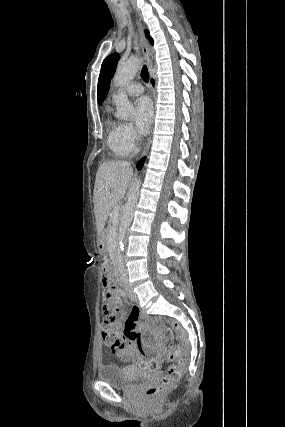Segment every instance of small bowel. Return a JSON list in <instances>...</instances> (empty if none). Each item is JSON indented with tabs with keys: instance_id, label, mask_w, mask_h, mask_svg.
<instances>
[{
	"instance_id": "obj_1",
	"label": "small bowel",
	"mask_w": 285,
	"mask_h": 427,
	"mask_svg": "<svg viewBox=\"0 0 285 427\" xmlns=\"http://www.w3.org/2000/svg\"><path fill=\"white\" fill-rule=\"evenodd\" d=\"M115 303V313H119L121 310L120 304V296L117 295L114 298ZM103 320L102 323H106L108 321V311L105 306L102 308ZM132 314L136 315L137 311L135 309L132 310ZM114 324L118 328H123V338L121 341V349L116 351L117 357H119L122 361H134L142 357V353L139 352L135 347L134 337H135V326L136 319L134 317L124 321L123 317L114 320Z\"/></svg>"
}]
</instances>
